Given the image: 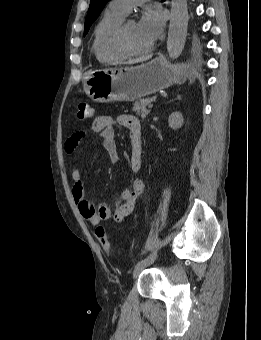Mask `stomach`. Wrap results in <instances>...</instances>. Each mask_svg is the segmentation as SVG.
<instances>
[{
	"label": "stomach",
	"mask_w": 261,
	"mask_h": 340,
	"mask_svg": "<svg viewBox=\"0 0 261 340\" xmlns=\"http://www.w3.org/2000/svg\"><path fill=\"white\" fill-rule=\"evenodd\" d=\"M188 77L185 66L172 68L164 58L158 57L139 66L88 72L83 87L96 102L134 101L175 83L181 84Z\"/></svg>",
	"instance_id": "stomach-1"
}]
</instances>
